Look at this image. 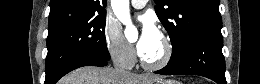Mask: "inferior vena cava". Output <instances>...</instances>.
<instances>
[{
    "mask_svg": "<svg viewBox=\"0 0 260 84\" xmlns=\"http://www.w3.org/2000/svg\"><path fill=\"white\" fill-rule=\"evenodd\" d=\"M115 71L120 73V74H127L128 73L126 70L118 68L117 66H115Z\"/></svg>",
    "mask_w": 260,
    "mask_h": 84,
    "instance_id": "1",
    "label": "inferior vena cava"
}]
</instances>
